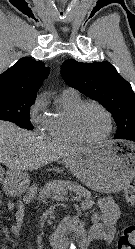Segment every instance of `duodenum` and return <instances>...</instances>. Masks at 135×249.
<instances>
[{"label":"duodenum","mask_w":135,"mask_h":249,"mask_svg":"<svg viewBox=\"0 0 135 249\" xmlns=\"http://www.w3.org/2000/svg\"><path fill=\"white\" fill-rule=\"evenodd\" d=\"M87 241H88V237H83L81 244L85 245L87 243Z\"/></svg>","instance_id":"1"}]
</instances>
